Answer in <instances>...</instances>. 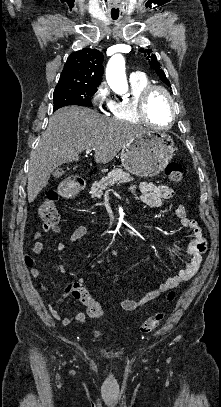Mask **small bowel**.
Listing matches in <instances>:
<instances>
[{
  "instance_id": "obj_1",
  "label": "small bowel",
  "mask_w": 221,
  "mask_h": 407,
  "mask_svg": "<svg viewBox=\"0 0 221 407\" xmlns=\"http://www.w3.org/2000/svg\"><path fill=\"white\" fill-rule=\"evenodd\" d=\"M130 191L132 194H138L141 202L154 208H162L165 202L170 200L174 195L172 188H170L169 186L158 185L151 182H144L138 185H133ZM175 214L179 219L181 225L188 230L190 235V241L188 245L189 258L185 261L182 268L175 276L168 278L165 282L154 287L139 300L121 299L119 305L123 311H133L136 308L159 297L161 294L176 289L181 284L190 280L197 272L202 261V256L207 249L206 239L203 236L202 231L198 224L188 217L187 210L182 204H177L175 206ZM87 233H88L87 226L84 225L79 226L76 229H74L73 232L71 233L70 241L76 242L81 238L85 237ZM33 239L35 241V244L32 249V254L24 253L23 261L25 265L29 268V274L32 277L36 278L39 277L41 274L40 269L35 266L36 263L35 255L40 254L43 249L41 233L39 232L34 233ZM56 249L59 252H63L66 249L65 243L58 242L56 245ZM57 270L61 274H69L67 267L62 264L57 266ZM120 280L123 284H127L126 278L123 274L120 275ZM76 281H79L84 284L85 278L84 276L80 275L72 279L68 283L67 288L63 294L64 298L72 297L80 301L72 290V286ZM40 284L44 291L49 292V287L43 281H41ZM60 303L61 299H58L54 305L49 306V310L52 316L57 320H60L64 325H70L73 321L82 322L85 320L86 314L84 312H78L72 317H62L56 308V306Z\"/></svg>"
}]
</instances>
